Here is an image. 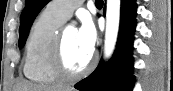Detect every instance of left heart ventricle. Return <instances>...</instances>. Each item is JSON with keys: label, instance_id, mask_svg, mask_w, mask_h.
<instances>
[{"label": "left heart ventricle", "instance_id": "left-heart-ventricle-1", "mask_svg": "<svg viewBox=\"0 0 173 91\" xmlns=\"http://www.w3.org/2000/svg\"><path fill=\"white\" fill-rule=\"evenodd\" d=\"M91 55L92 53L81 47L77 38V30L68 27L64 37V56L69 68L74 72L80 71L87 65Z\"/></svg>", "mask_w": 173, "mask_h": 91}]
</instances>
